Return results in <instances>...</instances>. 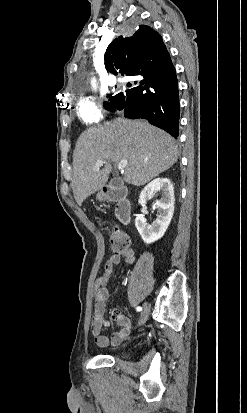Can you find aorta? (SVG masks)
<instances>
[{"label":"aorta","instance_id":"aorta-1","mask_svg":"<svg viewBox=\"0 0 247 413\" xmlns=\"http://www.w3.org/2000/svg\"><path fill=\"white\" fill-rule=\"evenodd\" d=\"M93 86H94V88L96 87V86H95V83H93Z\"/></svg>","mask_w":247,"mask_h":413}]
</instances>
